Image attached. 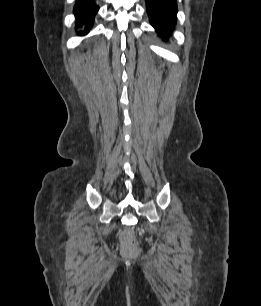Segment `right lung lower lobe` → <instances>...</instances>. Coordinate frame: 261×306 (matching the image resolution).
<instances>
[{
    "label": "right lung lower lobe",
    "instance_id": "right-lung-lower-lobe-1",
    "mask_svg": "<svg viewBox=\"0 0 261 306\" xmlns=\"http://www.w3.org/2000/svg\"><path fill=\"white\" fill-rule=\"evenodd\" d=\"M98 9L99 7L94 4V0H77L74 8L77 26L86 24V30L80 32V35L86 34L91 28Z\"/></svg>",
    "mask_w": 261,
    "mask_h": 306
}]
</instances>
